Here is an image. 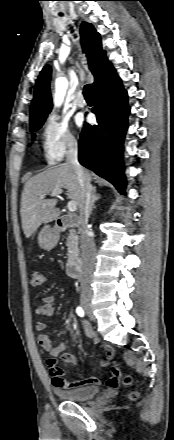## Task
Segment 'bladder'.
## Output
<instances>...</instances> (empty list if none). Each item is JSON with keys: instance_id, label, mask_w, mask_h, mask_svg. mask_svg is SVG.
<instances>
[{"instance_id": "31cf9c89", "label": "bladder", "mask_w": 174, "mask_h": 440, "mask_svg": "<svg viewBox=\"0 0 174 440\" xmlns=\"http://www.w3.org/2000/svg\"><path fill=\"white\" fill-rule=\"evenodd\" d=\"M58 395L67 401H84L99 393L98 386H82L72 390H59Z\"/></svg>"}]
</instances>
